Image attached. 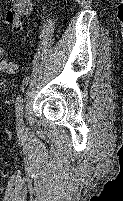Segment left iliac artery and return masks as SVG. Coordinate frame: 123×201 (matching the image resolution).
Here are the masks:
<instances>
[{
    "label": "left iliac artery",
    "instance_id": "1",
    "mask_svg": "<svg viewBox=\"0 0 123 201\" xmlns=\"http://www.w3.org/2000/svg\"><path fill=\"white\" fill-rule=\"evenodd\" d=\"M15 111L17 118L22 121V113H23V97L22 95H18L15 102Z\"/></svg>",
    "mask_w": 123,
    "mask_h": 201
}]
</instances>
